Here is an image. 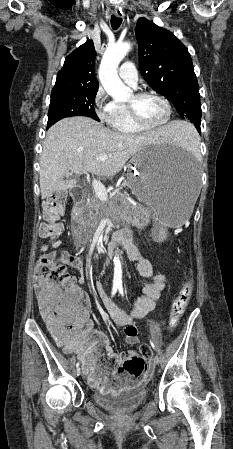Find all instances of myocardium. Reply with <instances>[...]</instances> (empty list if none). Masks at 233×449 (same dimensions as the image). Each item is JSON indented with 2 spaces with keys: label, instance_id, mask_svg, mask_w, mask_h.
I'll use <instances>...</instances> for the list:
<instances>
[{
  "label": "myocardium",
  "instance_id": "obj_1",
  "mask_svg": "<svg viewBox=\"0 0 233 449\" xmlns=\"http://www.w3.org/2000/svg\"><path fill=\"white\" fill-rule=\"evenodd\" d=\"M132 96H133V100L129 103H126L125 106H126V109L128 111V114H129L131 120L137 126H139L140 128H142L144 130H154V129H158V128L165 126L169 122V120L171 118V114H172V107H171V104L168 101V99L166 97H164L162 94H160L156 91H153V90H143V91L135 92ZM145 96L157 97L165 104L166 116H165L164 120L161 121L160 123L148 124V123L144 122L141 119V117L139 116L138 111H137V101Z\"/></svg>",
  "mask_w": 233,
  "mask_h": 449
}]
</instances>
